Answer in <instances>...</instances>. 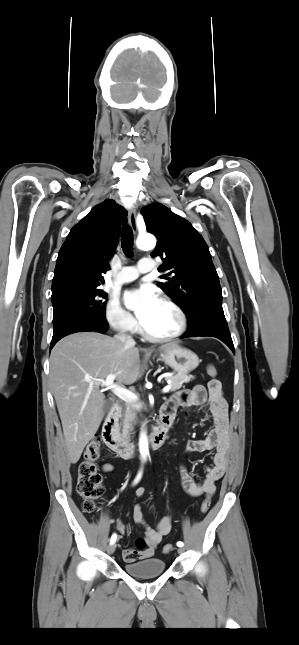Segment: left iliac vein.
<instances>
[{"mask_svg": "<svg viewBox=\"0 0 299 645\" xmlns=\"http://www.w3.org/2000/svg\"><path fill=\"white\" fill-rule=\"evenodd\" d=\"M177 551H178L179 554H181V553L184 552V549L182 547H179Z\"/></svg>", "mask_w": 299, "mask_h": 645, "instance_id": "left-iliac-vein-1", "label": "left iliac vein"}]
</instances>
